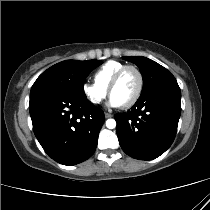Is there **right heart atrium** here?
I'll return each instance as SVG.
<instances>
[{
  "instance_id": "d8ad5b80",
  "label": "right heart atrium",
  "mask_w": 210,
  "mask_h": 210,
  "mask_svg": "<svg viewBox=\"0 0 210 210\" xmlns=\"http://www.w3.org/2000/svg\"><path fill=\"white\" fill-rule=\"evenodd\" d=\"M81 89L84 97L93 105H99L107 95V90L95 83L84 82Z\"/></svg>"
}]
</instances>
